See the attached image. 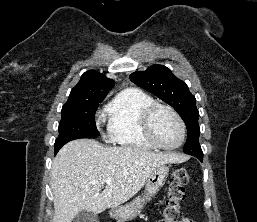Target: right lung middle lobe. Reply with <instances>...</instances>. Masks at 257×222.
<instances>
[{"instance_id": "right-lung-middle-lobe-1", "label": "right lung middle lobe", "mask_w": 257, "mask_h": 222, "mask_svg": "<svg viewBox=\"0 0 257 222\" xmlns=\"http://www.w3.org/2000/svg\"><path fill=\"white\" fill-rule=\"evenodd\" d=\"M105 97L82 98L67 101L62 107L59 136L54 149L59 150L71 140L94 138L99 135L95 124V112Z\"/></svg>"}]
</instances>
